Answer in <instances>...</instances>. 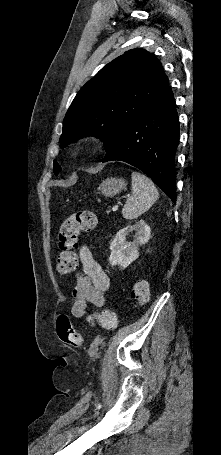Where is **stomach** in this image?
Here are the masks:
<instances>
[{
  "mask_svg": "<svg viewBox=\"0 0 221 455\" xmlns=\"http://www.w3.org/2000/svg\"><path fill=\"white\" fill-rule=\"evenodd\" d=\"M127 186L126 181L123 178H107L102 181L98 189L106 197H113L116 194L120 193L122 190H125Z\"/></svg>",
  "mask_w": 221,
  "mask_h": 455,
  "instance_id": "obj_1",
  "label": "stomach"
}]
</instances>
